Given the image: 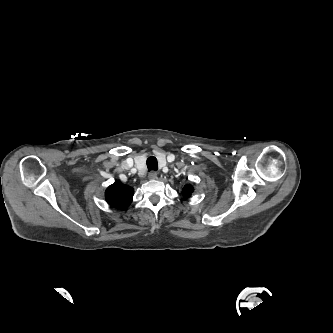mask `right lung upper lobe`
Returning a JSON list of instances; mask_svg holds the SVG:
<instances>
[{"mask_svg":"<svg viewBox=\"0 0 333 333\" xmlns=\"http://www.w3.org/2000/svg\"><path fill=\"white\" fill-rule=\"evenodd\" d=\"M132 198L133 189L120 182L110 185L105 192L107 203L120 210L126 209L131 204Z\"/></svg>","mask_w":333,"mask_h":333,"instance_id":"right-lung-upper-lobe-1","label":"right lung upper lobe"}]
</instances>
